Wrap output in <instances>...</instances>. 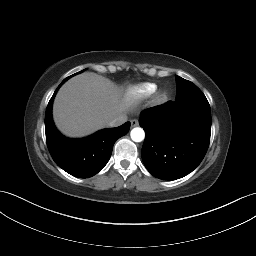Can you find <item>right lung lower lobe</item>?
<instances>
[{"mask_svg": "<svg viewBox=\"0 0 256 256\" xmlns=\"http://www.w3.org/2000/svg\"><path fill=\"white\" fill-rule=\"evenodd\" d=\"M50 99L45 114L46 142L54 162L67 173L79 177H92L107 164L115 141L130 129V122L103 129L83 139H69L61 135L52 120V103L59 87Z\"/></svg>", "mask_w": 256, "mask_h": 256, "instance_id": "obj_1", "label": "right lung lower lobe"}]
</instances>
